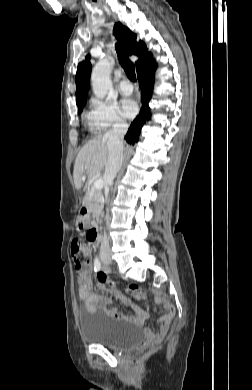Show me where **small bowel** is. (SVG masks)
<instances>
[{
	"mask_svg": "<svg viewBox=\"0 0 252 390\" xmlns=\"http://www.w3.org/2000/svg\"><path fill=\"white\" fill-rule=\"evenodd\" d=\"M94 264H90L88 268L80 272L78 275V297L79 300L83 303L85 308L89 311L103 312L112 318L127 320L130 322L143 323L147 317V314L140 307L134 305L120 290L113 287L112 281L107 276V272L100 273L98 275L97 288L100 290L106 289L107 286H110V293L113 297L121 301L125 306L132 309L135 313L134 316H127L122 314L116 308H110L111 299L105 296H102L94 291L92 284V275L94 273ZM139 299H147L149 294L146 292L136 291L132 292ZM157 304H159L162 309L165 311V314L160 319V329L157 334L149 331V336L153 339L158 338L163 335L169 329L172 318L174 317L175 310L172 304L166 301L159 294H154Z\"/></svg>",
	"mask_w": 252,
	"mask_h": 390,
	"instance_id": "c3829d8e",
	"label": "small bowel"
}]
</instances>
